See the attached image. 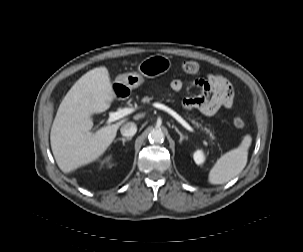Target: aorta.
Returning <instances> with one entry per match:
<instances>
[{"label": "aorta", "instance_id": "762f6f07", "mask_svg": "<svg viewBox=\"0 0 303 252\" xmlns=\"http://www.w3.org/2000/svg\"><path fill=\"white\" fill-rule=\"evenodd\" d=\"M164 133L161 129L154 128L150 131L148 139L152 143H161L164 141Z\"/></svg>", "mask_w": 303, "mask_h": 252}]
</instances>
